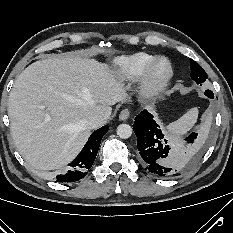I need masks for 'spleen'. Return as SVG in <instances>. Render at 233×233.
<instances>
[{
	"label": "spleen",
	"mask_w": 233,
	"mask_h": 233,
	"mask_svg": "<svg viewBox=\"0 0 233 233\" xmlns=\"http://www.w3.org/2000/svg\"><path fill=\"white\" fill-rule=\"evenodd\" d=\"M198 109L192 108L177 121L166 126L167 133L172 137H180L186 134L197 122Z\"/></svg>",
	"instance_id": "3e777b00"
}]
</instances>
